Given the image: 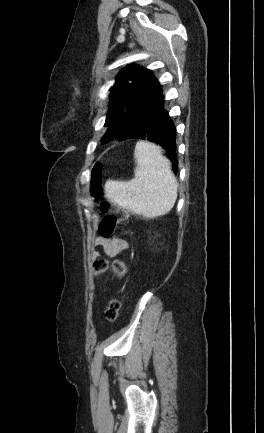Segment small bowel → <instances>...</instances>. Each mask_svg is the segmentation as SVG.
I'll list each match as a JSON object with an SVG mask.
<instances>
[{"label": "small bowel", "instance_id": "c3829d8e", "mask_svg": "<svg viewBox=\"0 0 264 433\" xmlns=\"http://www.w3.org/2000/svg\"><path fill=\"white\" fill-rule=\"evenodd\" d=\"M97 243L102 248L103 253L110 258L117 256L128 248V242L123 238L107 239L101 237ZM94 256L98 257L99 252H95Z\"/></svg>", "mask_w": 264, "mask_h": 433}]
</instances>
